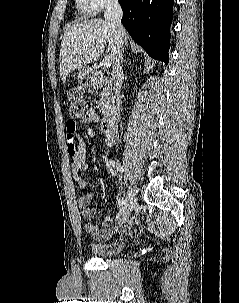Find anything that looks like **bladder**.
I'll return each instance as SVG.
<instances>
[{
    "label": "bladder",
    "mask_w": 239,
    "mask_h": 303,
    "mask_svg": "<svg viewBox=\"0 0 239 303\" xmlns=\"http://www.w3.org/2000/svg\"><path fill=\"white\" fill-rule=\"evenodd\" d=\"M126 246L124 241H115L108 243H92L91 251L98 257H110L119 254Z\"/></svg>",
    "instance_id": "31cf9c89"
}]
</instances>
